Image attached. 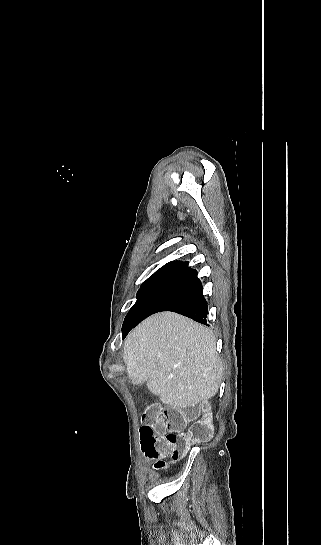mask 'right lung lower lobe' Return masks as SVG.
Listing matches in <instances>:
<instances>
[{
	"label": "right lung lower lobe",
	"mask_w": 321,
	"mask_h": 545,
	"mask_svg": "<svg viewBox=\"0 0 321 545\" xmlns=\"http://www.w3.org/2000/svg\"><path fill=\"white\" fill-rule=\"evenodd\" d=\"M197 275V271L188 267V264L175 270L140 314L135 319L124 322L123 336L142 320L160 311H173L202 324H207L208 306L202 294L201 281Z\"/></svg>",
	"instance_id": "right-lung-lower-lobe-1"
}]
</instances>
